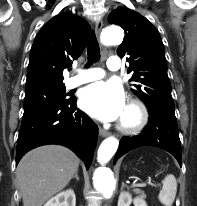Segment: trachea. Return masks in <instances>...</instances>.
<instances>
[{"label": "trachea", "mask_w": 197, "mask_h": 206, "mask_svg": "<svg viewBox=\"0 0 197 206\" xmlns=\"http://www.w3.org/2000/svg\"><path fill=\"white\" fill-rule=\"evenodd\" d=\"M88 63L92 64L100 59L99 44L94 32H91L87 41Z\"/></svg>", "instance_id": "1"}]
</instances>
